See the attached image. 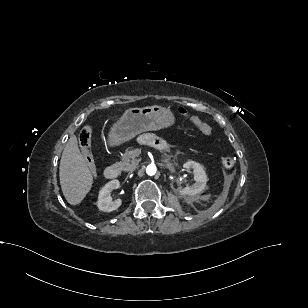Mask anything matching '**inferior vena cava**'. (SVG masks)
Returning a JSON list of instances; mask_svg holds the SVG:
<instances>
[{
  "mask_svg": "<svg viewBox=\"0 0 308 308\" xmlns=\"http://www.w3.org/2000/svg\"><path fill=\"white\" fill-rule=\"evenodd\" d=\"M128 172H129V174L132 175V174H134L135 170H134V168L131 167V168H129Z\"/></svg>",
  "mask_w": 308,
  "mask_h": 308,
  "instance_id": "602c4592",
  "label": "inferior vena cava"
}]
</instances>
